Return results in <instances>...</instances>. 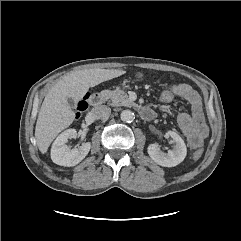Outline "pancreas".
<instances>
[{
  "label": "pancreas",
  "mask_w": 241,
  "mask_h": 241,
  "mask_svg": "<svg viewBox=\"0 0 241 241\" xmlns=\"http://www.w3.org/2000/svg\"><path fill=\"white\" fill-rule=\"evenodd\" d=\"M101 95L110 106H132L134 104L122 89H116L114 91L104 90L101 92Z\"/></svg>",
  "instance_id": "pancreas-1"
}]
</instances>
